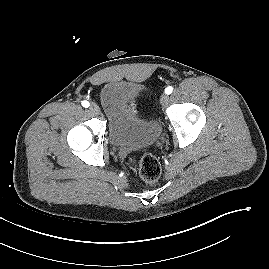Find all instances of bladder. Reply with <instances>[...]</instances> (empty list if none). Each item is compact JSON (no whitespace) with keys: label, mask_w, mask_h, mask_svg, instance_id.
<instances>
[{"label":"bladder","mask_w":269,"mask_h":269,"mask_svg":"<svg viewBox=\"0 0 269 269\" xmlns=\"http://www.w3.org/2000/svg\"><path fill=\"white\" fill-rule=\"evenodd\" d=\"M144 94V88L127 81H111L100 91V101L108 116V135L116 147L143 148L153 145L161 135V124L155 116H139L133 101Z\"/></svg>","instance_id":"1"}]
</instances>
